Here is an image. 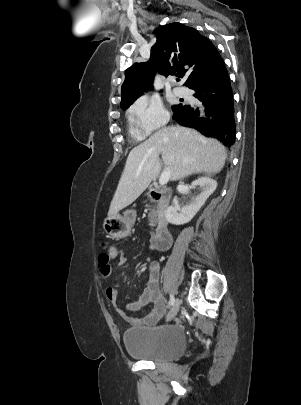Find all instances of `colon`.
Here are the masks:
<instances>
[{"instance_id":"1","label":"colon","mask_w":301,"mask_h":405,"mask_svg":"<svg viewBox=\"0 0 301 405\" xmlns=\"http://www.w3.org/2000/svg\"><path fill=\"white\" fill-rule=\"evenodd\" d=\"M110 245L106 241L99 242L100 256L106 257L110 250Z\"/></svg>"}]
</instances>
